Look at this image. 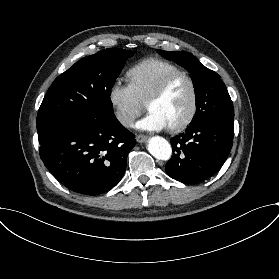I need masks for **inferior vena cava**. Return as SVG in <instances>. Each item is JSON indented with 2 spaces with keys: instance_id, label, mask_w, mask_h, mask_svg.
I'll use <instances>...</instances> for the list:
<instances>
[{
  "instance_id": "602c4592",
  "label": "inferior vena cava",
  "mask_w": 279,
  "mask_h": 279,
  "mask_svg": "<svg viewBox=\"0 0 279 279\" xmlns=\"http://www.w3.org/2000/svg\"><path fill=\"white\" fill-rule=\"evenodd\" d=\"M133 117H128L127 115L122 116L120 122L125 125V124H129L133 121Z\"/></svg>"
}]
</instances>
